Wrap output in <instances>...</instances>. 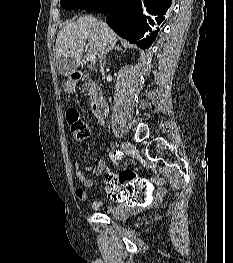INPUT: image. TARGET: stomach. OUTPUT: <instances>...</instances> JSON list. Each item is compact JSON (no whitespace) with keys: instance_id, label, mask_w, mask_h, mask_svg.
Returning a JSON list of instances; mask_svg holds the SVG:
<instances>
[{"instance_id":"obj_1","label":"stomach","mask_w":233,"mask_h":263,"mask_svg":"<svg viewBox=\"0 0 233 263\" xmlns=\"http://www.w3.org/2000/svg\"><path fill=\"white\" fill-rule=\"evenodd\" d=\"M75 89V83L71 80H68L66 83H65V90L68 92V93H71L73 92Z\"/></svg>"}]
</instances>
